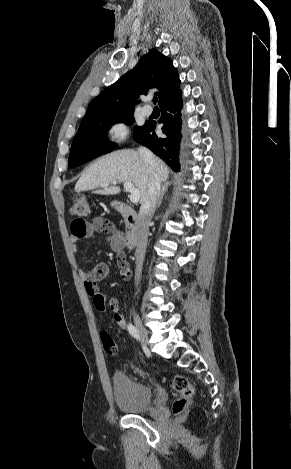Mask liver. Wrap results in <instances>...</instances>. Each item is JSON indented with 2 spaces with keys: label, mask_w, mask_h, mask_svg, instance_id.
Returning a JSON list of instances; mask_svg holds the SVG:
<instances>
[{
  "label": "liver",
  "mask_w": 291,
  "mask_h": 469,
  "mask_svg": "<svg viewBox=\"0 0 291 469\" xmlns=\"http://www.w3.org/2000/svg\"><path fill=\"white\" fill-rule=\"evenodd\" d=\"M154 158L161 181L166 182L169 174L168 167L161 159ZM150 176V170L139 152L131 149L118 150L91 164L77 181L75 191L94 190L112 181L131 182L139 190L140 203H142L148 192ZM120 192L121 189L116 184L94 191L96 194L103 195H114Z\"/></svg>",
  "instance_id": "6515ba94"
}]
</instances>
